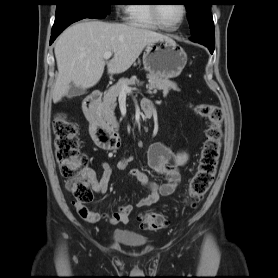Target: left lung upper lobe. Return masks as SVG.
Listing matches in <instances>:
<instances>
[{
    "instance_id": "left-lung-upper-lobe-1",
    "label": "left lung upper lobe",
    "mask_w": 278,
    "mask_h": 278,
    "mask_svg": "<svg viewBox=\"0 0 278 278\" xmlns=\"http://www.w3.org/2000/svg\"><path fill=\"white\" fill-rule=\"evenodd\" d=\"M212 3L213 0H186L185 6L192 37L214 45V23L210 12Z\"/></svg>"
}]
</instances>
